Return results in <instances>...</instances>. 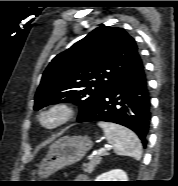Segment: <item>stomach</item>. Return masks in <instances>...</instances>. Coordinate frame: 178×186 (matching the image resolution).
Masks as SVG:
<instances>
[{
  "instance_id": "0dacf381",
  "label": "stomach",
  "mask_w": 178,
  "mask_h": 186,
  "mask_svg": "<svg viewBox=\"0 0 178 186\" xmlns=\"http://www.w3.org/2000/svg\"><path fill=\"white\" fill-rule=\"evenodd\" d=\"M93 146L88 136H65L56 141L41 161L37 175L47 178L64 167L80 161Z\"/></svg>"
}]
</instances>
